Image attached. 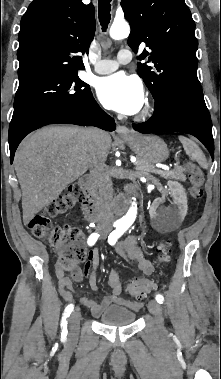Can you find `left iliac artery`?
<instances>
[{
    "instance_id": "obj_1",
    "label": "left iliac artery",
    "mask_w": 221,
    "mask_h": 379,
    "mask_svg": "<svg viewBox=\"0 0 221 379\" xmlns=\"http://www.w3.org/2000/svg\"><path fill=\"white\" fill-rule=\"evenodd\" d=\"M126 231V229L124 227H117L116 230H114L108 237V242L110 245H115V243L117 242L118 238H120L123 233ZM155 299L158 303L162 304L163 301H164V297L162 294H157L155 296Z\"/></svg>"
}]
</instances>
